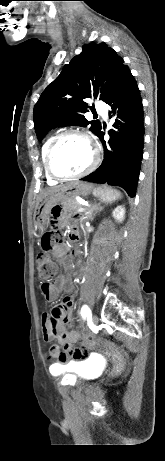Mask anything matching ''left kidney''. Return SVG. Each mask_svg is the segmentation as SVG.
<instances>
[{"instance_id": "obj_1", "label": "left kidney", "mask_w": 165, "mask_h": 461, "mask_svg": "<svg viewBox=\"0 0 165 461\" xmlns=\"http://www.w3.org/2000/svg\"><path fill=\"white\" fill-rule=\"evenodd\" d=\"M113 218L118 221L122 222L125 217V207L124 206H117L112 212Z\"/></svg>"}]
</instances>
